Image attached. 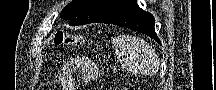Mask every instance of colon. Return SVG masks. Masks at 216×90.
Segmentation results:
<instances>
[{"instance_id":"colon-1","label":"colon","mask_w":216,"mask_h":90,"mask_svg":"<svg viewBox=\"0 0 216 90\" xmlns=\"http://www.w3.org/2000/svg\"><path fill=\"white\" fill-rule=\"evenodd\" d=\"M55 42L58 45L71 46V45L79 44L80 38L78 36L60 31L55 36Z\"/></svg>"}]
</instances>
